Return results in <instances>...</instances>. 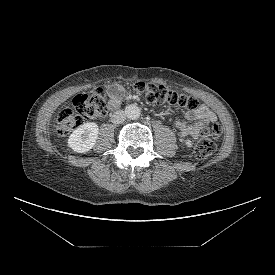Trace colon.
I'll use <instances>...</instances> for the list:
<instances>
[{
  "instance_id": "obj_1",
  "label": "colon",
  "mask_w": 275,
  "mask_h": 275,
  "mask_svg": "<svg viewBox=\"0 0 275 275\" xmlns=\"http://www.w3.org/2000/svg\"><path fill=\"white\" fill-rule=\"evenodd\" d=\"M136 95L144 97L151 104H167L180 106L187 110L198 108V100L190 95L180 94L170 88L154 84L138 82L133 85ZM73 109L61 111L54 121L57 134L67 136L74 129L83 124L86 119L101 117L106 112V94L102 88H96L88 93L76 95L72 101ZM219 125L204 127L194 148V155L198 159L211 156L216 150V140L220 137Z\"/></svg>"
}]
</instances>
